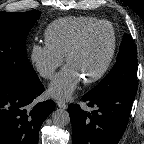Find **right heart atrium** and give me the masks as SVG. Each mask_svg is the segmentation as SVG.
I'll use <instances>...</instances> for the list:
<instances>
[{"label": "right heart atrium", "instance_id": "1", "mask_svg": "<svg viewBox=\"0 0 144 144\" xmlns=\"http://www.w3.org/2000/svg\"><path fill=\"white\" fill-rule=\"evenodd\" d=\"M30 61L43 78L52 79L64 63V57L48 44H34L30 50Z\"/></svg>", "mask_w": 144, "mask_h": 144}]
</instances>
